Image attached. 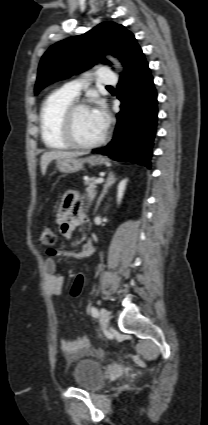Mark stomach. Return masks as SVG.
Returning a JSON list of instances; mask_svg holds the SVG:
<instances>
[{"instance_id":"obj_1","label":"stomach","mask_w":208,"mask_h":425,"mask_svg":"<svg viewBox=\"0 0 208 425\" xmlns=\"http://www.w3.org/2000/svg\"><path fill=\"white\" fill-rule=\"evenodd\" d=\"M107 160L102 156H90L83 159L78 158H63L58 159L56 162L57 169L65 174L76 173L83 169L84 163H88L91 166L102 165L106 163Z\"/></svg>"}]
</instances>
